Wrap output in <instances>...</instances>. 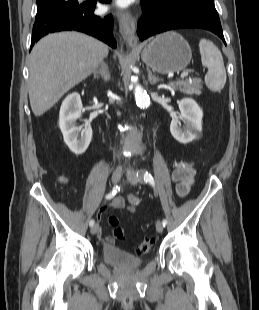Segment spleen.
Here are the masks:
<instances>
[{"mask_svg":"<svg viewBox=\"0 0 259 310\" xmlns=\"http://www.w3.org/2000/svg\"><path fill=\"white\" fill-rule=\"evenodd\" d=\"M199 50L202 65L208 68L205 84L213 92H219L226 83V70L220 50L212 41L200 39Z\"/></svg>","mask_w":259,"mask_h":310,"instance_id":"3e777b00","label":"spleen"}]
</instances>
